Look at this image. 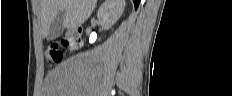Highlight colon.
Instances as JSON below:
<instances>
[{
    "mask_svg": "<svg viewBox=\"0 0 232 96\" xmlns=\"http://www.w3.org/2000/svg\"><path fill=\"white\" fill-rule=\"evenodd\" d=\"M64 44H60V43H51L48 47V51H47V54H48V57L56 62V63H59L61 61H63L64 59V51H63V46Z\"/></svg>",
    "mask_w": 232,
    "mask_h": 96,
    "instance_id": "1",
    "label": "colon"
}]
</instances>
